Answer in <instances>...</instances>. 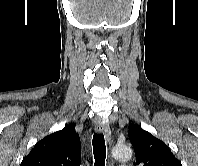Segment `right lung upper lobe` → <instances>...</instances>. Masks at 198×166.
Here are the masks:
<instances>
[{"label":"right lung upper lobe","mask_w":198,"mask_h":166,"mask_svg":"<svg viewBox=\"0 0 198 166\" xmlns=\"http://www.w3.org/2000/svg\"><path fill=\"white\" fill-rule=\"evenodd\" d=\"M80 138L74 125H66L40 140L20 166H80Z\"/></svg>","instance_id":"obj_1"}]
</instances>
